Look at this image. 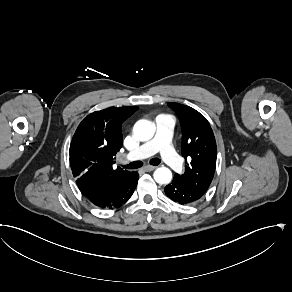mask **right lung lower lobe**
I'll return each instance as SVG.
<instances>
[{"mask_svg":"<svg viewBox=\"0 0 292 292\" xmlns=\"http://www.w3.org/2000/svg\"><path fill=\"white\" fill-rule=\"evenodd\" d=\"M138 183V173L135 171L123 182H121L112 192L105 198L98 201L89 199L94 205L100 208H118L129 200Z\"/></svg>","mask_w":292,"mask_h":292,"instance_id":"98d812e1","label":"right lung lower lobe"}]
</instances>
